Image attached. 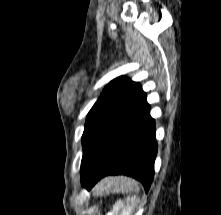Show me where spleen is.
Listing matches in <instances>:
<instances>
[{"mask_svg": "<svg viewBox=\"0 0 221 215\" xmlns=\"http://www.w3.org/2000/svg\"><path fill=\"white\" fill-rule=\"evenodd\" d=\"M110 183L114 189L137 187V184L134 181L123 177L113 178L111 179ZM138 203V197H127L124 200H119L114 204L113 212L115 215H132Z\"/></svg>", "mask_w": 221, "mask_h": 215, "instance_id": "3e777b00", "label": "spleen"}]
</instances>
